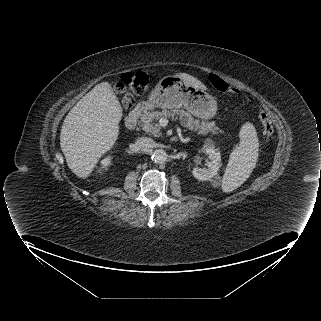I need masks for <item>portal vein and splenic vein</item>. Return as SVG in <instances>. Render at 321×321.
Segmentation results:
<instances>
[{
	"mask_svg": "<svg viewBox=\"0 0 321 321\" xmlns=\"http://www.w3.org/2000/svg\"><path fill=\"white\" fill-rule=\"evenodd\" d=\"M159 122H160V125H161V126H166V125L168 124V120L165 119V118L160 119Z\"/></svg>",
	"mask_w": 321,
	"mask_h": 321,
	"instance_id": "1",
	"label": "portal vein and splenic vein"
}]
</instances>
